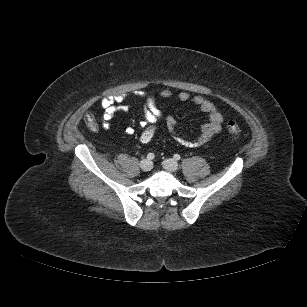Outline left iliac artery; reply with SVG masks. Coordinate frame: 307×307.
Returning <instances> with one entry per match:
<instances>
[{"instance_id": "obj_1", "label": "left iliac artery", "mask_w": 307, "mask_h": 307, "mask_svg": "<svg viewBox=\"0 0 307 307\" xmlns=\"http://www.w3.org/2000/svg\"><path fill=\"white\" fill-rule=\"evenodd\" d=\"M173 158H174L175 160H177V161H178V160H180V158H181V157H180V155H179V154H175V155L173 156Z\"/></svg>"}]
</instances>
